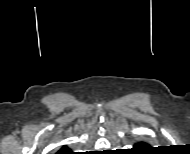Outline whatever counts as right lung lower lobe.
I'll list each match as a JSON object with an SVG mask.
<instances>
[{"instance_id":"1","label":"right lung lower lobe","mask_w":190,"mask_h":154,"mask_svg":"<svg viewBox=\"0 0 190 154\" xmlns=\"http://www.w3.org/2000/svg\"><path fill=\"white\" fill-rule=\"evenodd\" d=\"M57 154H71V151L67 149L60 150Z\"/></svg>"}]
</instances>
